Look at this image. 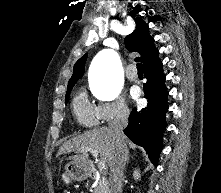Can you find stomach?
<instances>
[{
	"mask_svg": "<svg viewBox=\"0 0 221 193\" xmlns=\"http://www.w3.org/2000/svg\"><path fill=\"white\" fill-rule=\"evenodd\" d=\"M88 175L85 165L71 162L65 167V172L61 176L64 185H69L72 181L84 180Z\"/></svg>",
	"mask_w": 221,
	"mask_h": 193,
	"instance_id": "stomach-1",
	"label": "stomach"
}]
</instances>
